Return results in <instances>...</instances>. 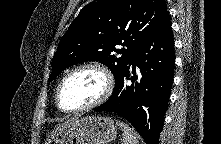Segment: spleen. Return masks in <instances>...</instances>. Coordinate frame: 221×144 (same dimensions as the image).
<instances>
[{
	"mask_svg": "<svg viewBox=\"0 0 221 144\" xmlns=\"http://www.w3.org/2000/svg\"><path fill=\"white\" fill-rule=\"evenodd\" d=\"M116 124L123 131V144H138L137 133L131 129L126 123L116 120Z\"/></svg>",
	"mask_w": 221,
	"mask_h": 144,
	"instance_id": "spleen-1",
	"label": "spleen"
}]
</instances>
